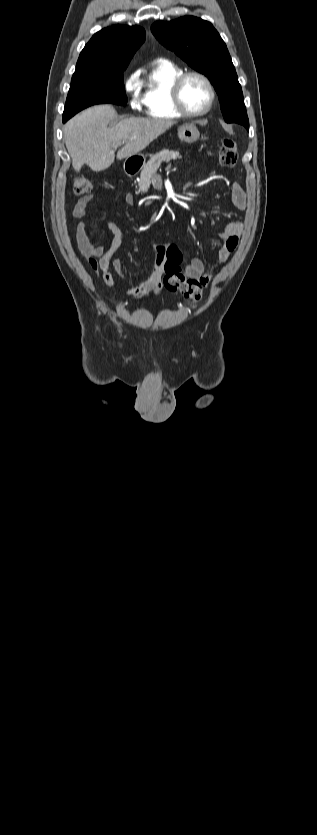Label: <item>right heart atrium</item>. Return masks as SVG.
Wrapping results in <instances>:
<instances>
[{
    "label": "right heart atrium",
    "instance_id": "right-heart-atrium-1",
    "mask_svg": "<svg viewBox=\"0 0 317 835\" xmlns=\"http://www.w3.org/2000/svg\"><path fill=\"white\" fill-rule=\"evenodd\" d=\"M124 89L130 95V107L133 110H140L142 107V100L136 96V91L138 89V76L136 73H131L124 82Z\"/></svg>",
    "mask_w": 317,
    "mask_h": 835
}]
</instances>
